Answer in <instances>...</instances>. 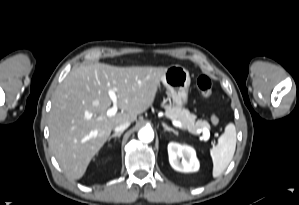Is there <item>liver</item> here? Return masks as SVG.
<instances>
[{
    "instance_id": "1",
    "label": "liver",
    "mask_w": 299,
    "mask_h": 205,
    "mask_svg": "<svg viewBox=\"0 0 299 205\" xmlns=\"http://www.w3.org/2000/svg\"><path fill=\"white\" fill-rule=\"evenodd\" d=\"M166 69L95 63L69 73L53 95L49 115V146L69 178L80 179L111 131L136 121L153 104ZM109 90L120 109L112 117L106 114L113 104Z\"/></svg>"
}]
</instances>
